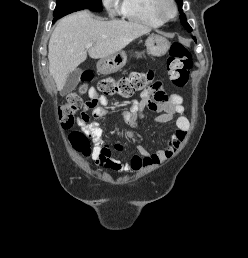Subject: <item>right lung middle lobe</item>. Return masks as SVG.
<instances>
[{"label": "right lung middle lobe", "instance_id": "dd1d6c3e", "mask_svg": "<svg viewBox=\"0 0 248 258\" xmlns=\"http://www.w3.org/2000/svg\"><path fill=\"white\" fill-rule=\"evenodd\" d=\"M83 9L101 12L102 2L101 0H57L53 22L67 14Z\"/></svg>", "mask_w": 248, "mask_h": 258}]
</instances>
